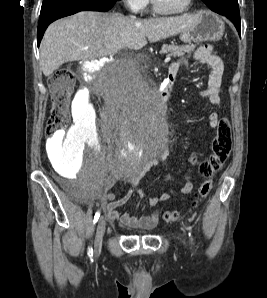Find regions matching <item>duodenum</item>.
<instances>
[{
  "mask_svg": "<svg viewBox=\"0 0 267 298\" xmlns=\"http://www.w3.org/2000/svg\"><path fill=\"white\" fill-rule=\"evenodd\" d=\"M176 73L172 69L169 68L168 77L166 80V84L164 88L158 92L157 98H164V103H155V105H167V100H165L172 88V85L175 80Z\"/></svg>",
  "mask_w": 267,
  "mask_h": 298,
  "instance_id": "duodenum-1",
  "label": "duodenum"
}]
</instances>
